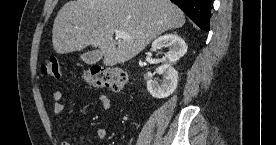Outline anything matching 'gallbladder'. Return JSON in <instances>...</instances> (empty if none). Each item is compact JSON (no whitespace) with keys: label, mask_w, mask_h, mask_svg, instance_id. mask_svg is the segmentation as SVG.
<instances>
[{"label":"gallbladder","mask_w":276,"mask_h":145,"mask_svg":"<svg viewBox=\"0 0 276 145\" xmlns=\"http://www.w3.org/2000/svg\"><path fill=\"white\" fill-rule=\"evenodd\" d=\"M102 58V52L100 50L87 51L81 55V59L84 63L92 65L100 61Z\"/></svg>","instance_id":"obj_1"}]
</instances>
